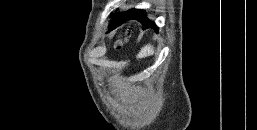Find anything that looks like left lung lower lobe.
Segmentation results:
<instances>
[{"mask_svg": "<svg viewBox=\"0 0 257 130\" xmlns=\"http://www.w3.org/2000/svg\"><path fill=\"white\" fill-rule=\"evenodd\" d=\"M129 19H137L140 22H142L143 29H147L155 25L153 21H150L147 18L145 10L132 9L127 12L117 14L113 19V21L111 22L109 29H114L118 25V23Z\"/></svg>", "mask_w": 257, "mask_h": 130, "instance_id": "1", "label": "left lung lower lobe"}]
</instances>
